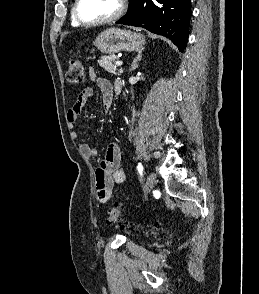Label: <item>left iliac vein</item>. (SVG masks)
I'll return each mask as SVG.
<instances>
[{
	"mask_svg": "<svg viewBox=\"0 0 259 294\" xmlns=\"http://www.w3.org/2000/svg\"><path fill=\"white\" fill-rule=\"evenodd\" d=\"M155 179H156L155 173L151 172L148 176V179H147V187L145 189V194H148L150 192V190H152L154 188Z\"/></svg>",
	"mask_w": 259,
	"mask_h": 294,
	"instance_id": "4c4485c4",
	"label": "left iliac vein"
}]
</instances>
